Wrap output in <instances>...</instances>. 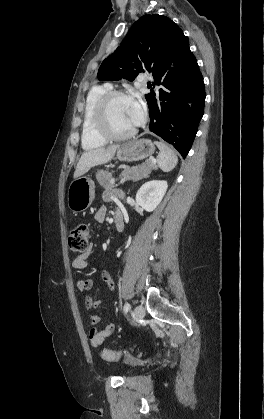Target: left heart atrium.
<instances>
[{"instance_id":"obj_1","label":"left heart atrium","mask_w":264,"mask_h":419,"mask_svg":"<svg viewBox=\"0 0 264 419\" xmlns=\"http://www.w3.org/2000/svg\"><path fill=\"white\" fill-rule=\"evenodd\" d=\"M130 117L134 126H138L144 121L145 107L138 96L130 98Z\"/></svg>"}]
</instances>
